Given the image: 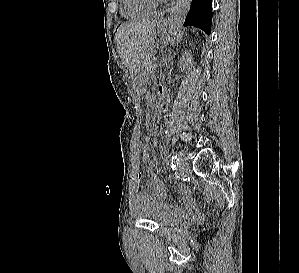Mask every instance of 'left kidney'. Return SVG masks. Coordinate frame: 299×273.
I'll return each mask as SVG.
<instances>
[{
  "instance_id": "5707ae66",
  "label": "left kidney",
  "mask_w": 299,
  "mask_h": 273,
  "mask_svg": "<svg viewBox=\"0 0 299 273\" xmlns=\"http://www.w3.org/2000/svg\"><path fill=\"white\" fill-rule=\"evenodd\" d=\"M192 54L190 52L185 51L178 62L179 68L184 71L190 66H192Z\"/></svg>"
}]
</instances>
